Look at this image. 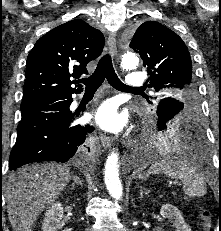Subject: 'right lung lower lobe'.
Returning a JSON list of instances; mask_svg holds the SVG:
<instances>
[{"mask_svg": "<svg viewBox=\"0 0 221 231\" xmlns=\"http://www.w3.org/2000/svg\"><path fill=\"white\" fill-rule=\"evenodd\" d=\"M71 95L47 98L21 108L16 143L11 151L9 167L39 161H68L83 147L93 127L71 126Z\"/></svg>", "mask_w": 221, "mask_h": 231, "instance_id": "1", "label": "right lung lower lobe"}]
</instances>
